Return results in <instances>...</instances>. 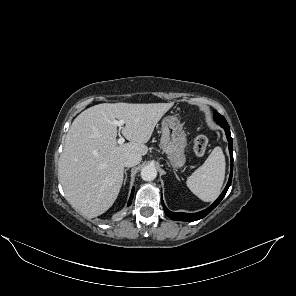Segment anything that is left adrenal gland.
<instances>
[{
  "mask_svg": "<svg viewBox=\"0 0 296 296\" xmlns=\"http://www.w3.org/2000/svg\"><path fill=\"white\" fill-rule=\"evenodd\" d=\"M175 176H176V178H177L178 180H180L179 177H178V175H177L176 173H175Z\"/></svg>",
  "mask_w": 296,
  "mask_h": 296,
  "instance_id": "a2214340",
  "label": "left adrenal gland"
}]
</instances>
